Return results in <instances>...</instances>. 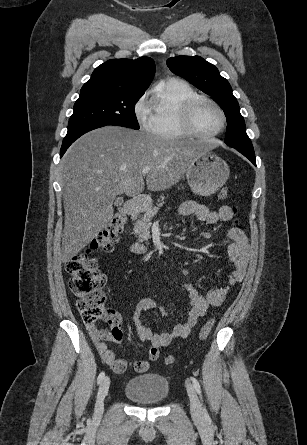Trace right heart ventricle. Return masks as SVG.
I'll return each instance as SVG.
<instances>
[{
  "label": "right heart ventricle",
  "mask_w": 307,
  "mask_h": 445,
  "mask_svg": "<svg viewBox=\"0 0 307 445\" xmlns=\"http://www.w3.org/2000/svg\"><path fill=\"white\" fill-rule=\"evenodd\" d=\"M195 96L191 86L177 80L160 83L154 89L148 108L153 115L151 129L160 136L158 140H190L182 107Z\"/></svg>",
  "instance_id": "right-heart-ventricle-1"
}]
</instances>
